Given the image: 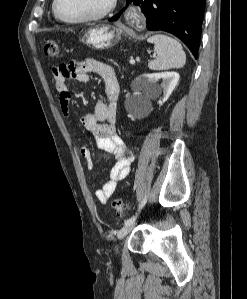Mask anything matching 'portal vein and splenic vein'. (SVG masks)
I'll return each mask as SVG.
<instances>
[{
	"label": "portal vein and splenic vein",
	"mask_w": 247,
	"mask_h": 299,
	"mask_svg": "<svg viewBox=\"0 0 247 299\" xmlns=\"http://www.w3.org/2000/svg\"><path fill=\"white\" fill-rule=\"evenodd\" d=\"M130 64H135V60L133 58L130 59Z\"/></svg>",
	"instance_id": "18ae733b"
}]
</instances>
